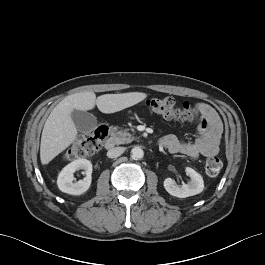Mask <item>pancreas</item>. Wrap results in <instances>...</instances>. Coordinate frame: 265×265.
<instances>
[{"label":"pancreas","instance_id":"1","mask_svg":"<svg viewBox=\"0 0 265 265\" xmlns=\"http://www.w3.org/2000/svg\"><path fill=\"white\" fill-rule=\"evenodd\" d=\"M134 139L135 138L127 132V130L118 131L114 137V141L117 145L131 143Z\"/></svg>","mask_w":265,"mask_h":265}]
</instances>
